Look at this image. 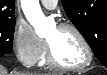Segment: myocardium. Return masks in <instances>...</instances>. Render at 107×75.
I'll list each match as a JSON object with an SVG mask.
<instances>
[{
	"mask_svg": "<svg viewBox=\"0 0 107 75\" xmlns=\"http://www.w3.org/2000/svg\"><path fill=\"white\" fill-rule=\"evenodd\" d=\"M56 28L59 30H70L78 37L79 41L81 42V44L85 50L86 59L84 60V62H82L79 65H73V66L63 65L60 62H58V60L55 58L52 47L49 44V42L47 41L46 42V62H47V64L51 68L56 69V70H61V71H79V70H83L86 67H88L93 61V51H92V48H91L87 38L82 33V31L77 26H75L71 23H67V22L60 23Z\"/></svg>",
	"mask_w": 107,
	"mask_h": 75,
	"instance_id": "myocardium-1",
	"label": "myocardium"
}]
</instances>
